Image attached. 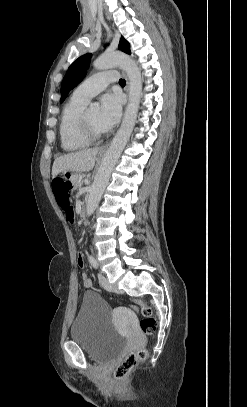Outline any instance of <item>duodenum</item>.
I'll return each instance as SVG.
<instances>
[{
    "label": "duodenum",
    "mask_w": 247,
    "mask_h": 407,
    "mask_svg": "<svg viewBox=\"0 0 247 407\" xmlns=\"http://www.w3.org/2000/svg\"><path fill=\"white\" fill-rule=\"evenodd\" d=\"M79 215L81 219H85L86 218V208L85 206L81 207L79 210Z\"/></svg>",
    "instance_id": "410a0bca"
}]
</instances>
